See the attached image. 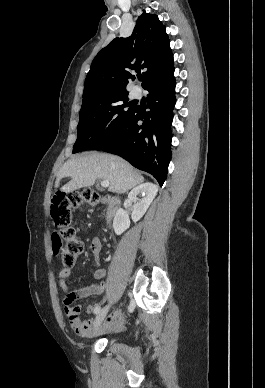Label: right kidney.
<instances>
[{"label": "right kidney", "instance_id": "obj_1", "mask_svg": "<svg viewBox=\"0 0 265 388\" xmlns=\"http://www.w3.org/2000/svg\"><path fill=\"white\" fill-rule=\"evenodd\" d=\"M157 192V186H155V184H151V182L140 184V186H136V188H133V190L129 192L128 200L134 202L133 212L131 214L133 222H139L140 218L144 216L151 202H153L155 196H157ZM137 196H141V200H139ZM129 226V216L125 210L120 208V210H117V214L113 220L115 234H117V236H121L125 230H128Z\"/></svg>", "mask_w": 265, "mask_h": 388}]
</instances>
